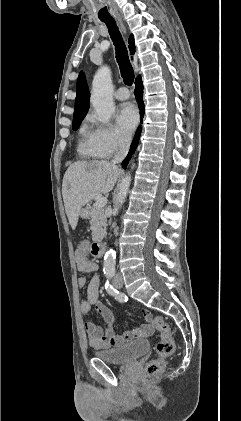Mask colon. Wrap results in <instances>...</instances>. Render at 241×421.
Masks as SVG:
<instances>
[{"instance_id":"5ec220e1","label":"colon","mask_w":241,"mask_h":421,"mask_svg":"<svg viewBox=\"0 0 241 421\" xmlns=\"http://www.w3.org/2000/svg\"><path fill=\"white\" fill-rule=\"evenodd\" d=\"M77 252L86 256L93 254L92 244L88 240L79 241ZM153 325L160 333V340L156 345L157 357L146 365L145 373L148 378L155 377L163 371L166 359L174 353L175 349L169 324L161 316H156L153 319Z\"/></svg>"}]
</instances>
